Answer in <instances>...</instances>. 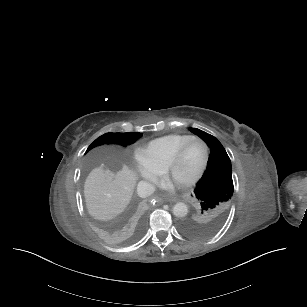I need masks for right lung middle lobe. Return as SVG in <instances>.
Returning a JSON list of instances; mask_svg holds the SVG:
<instances>
[{"instance_id":"1","label":"right lung middle lobe","mask_w":307,"mask_h":307,"mask_svg":"<svg viewBox=\"0 0 307 307\" xmlns=\"http://www.w3.org/2000/svg\"><path fill=\"white\" fill-rule=\"evenodd\" d=\"M141 133L128 132V133H106L99 138H97L87 149L88 152L90 149L102 145V144H118L122 146H127L134 143Z\"/></svg>"}]
</instances>
